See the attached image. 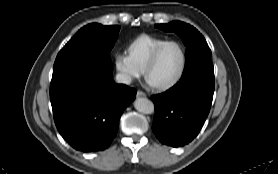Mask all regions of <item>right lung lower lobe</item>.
<instances>
[{
	"instance_id": "right-lung-lower-lobe-1",
	"label": "right lung lower lobe",
	"mask_w": 278,
	"mask_h": 174,
	"mask_svg": "<svg viewBox=\"0 0 278 174\" xmlns=\"http://www.w3.org/2000/svg\"><path fill=\"white\" fill-rule=\"evenodd\" d=\"M136 90L113 82L111 73L69 68L52 76L50 100L62 137L75 149L98 151L110 146L124 109Z\"/></svg>"
}]
</instances>
